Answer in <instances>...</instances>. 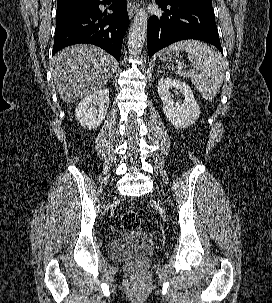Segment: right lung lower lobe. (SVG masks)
Instances as JSON below:
<instances>
[{"mask_svg":"<svg viewBox=\"0 0 272 303\" xmlns=\"http://www.w3.org/2000/svg\"><path fill=\"white\" fill-rule=\"evenodd\" d=\"M104 4H92L56 15L53 54L60 49L79 43L99 46L120 60L122 42L129 25L125 0H115L107 14L99 9Z\"/></svg>","mask_w":272,"mask_h":303,"instance_id":"1","label":"right lung lower lobe"}]
</instances>
